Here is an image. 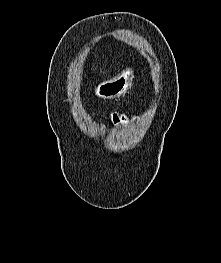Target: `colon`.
I'll use <instances>...</instances> for the list:
<instances>
[{"instance_id": "colon-1", "label": "colon", "mask_w": 221, "mask_h": 263, "mask_svg": "<svg viewBox=\"0 0 221 263\" xmlns=\"http://www.w3.org/2000/svg\"><path fill=\"white\" fill-rule=\"evenodd\" d=\"M112 118L115 120V121H119L120 119H125V116L124 115H120L118 113H113L112 114Z\"/></svg>"}]
</instances>
